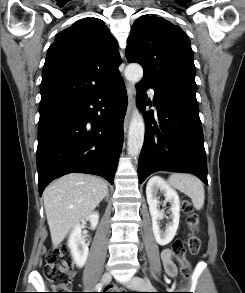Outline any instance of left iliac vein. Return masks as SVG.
<instances>
[{"instance_id": "4c4485c4", "label": "left iliac vein", "mask_w": 245, "mask_h": 293, "mask_svg": "<svg viewBox=\"0 0 245 293\" xmlns=\"http://www.w3.org/2000/svg\"><path fill=\"white\" fill-rule=\"evenodd\" d=\"M126 286L136 290H144L146 286L149 288H153L150 281H145L137 276L131 277L130 280L126 283Z\"/></svg>"}]
</instances>
